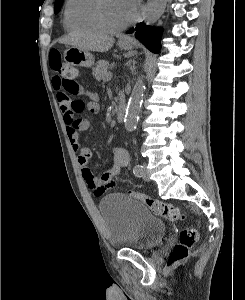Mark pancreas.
Returning a JSON list of instances; mask_svg holds the SVG:
<instances>
[{
    "instance_id": "pancreas-1",
    "label": "pancreas",
    "mask_w": 245,
    "mask_h": 300,
    "mask_svg": "<svg viewBox=\"0 0 245 300\" xmlns=\"http://www.w3.org/2000/svg\"><path fill=\"white\" fill-rule=\"evenodd\" d=\"M109 63L107 61L101 60L96 64V67L93 68V76L96 80H108L107 76Z\"/></svg>"
}]
</instances>
